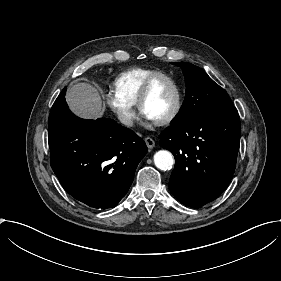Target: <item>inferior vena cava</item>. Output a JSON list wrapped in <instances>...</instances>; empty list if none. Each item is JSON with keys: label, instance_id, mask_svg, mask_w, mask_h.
<instances>
[{"label": "inferior vena cava", "instance_id": "602c4592", "mask_svg": "<svg viewBox=\"0 0 281 281\" xmlns=\"http://www.w3.org/2000/svg\"><path fill=\"white\" fill-rule=\"evenodd\" d=\"M118 119H119V121L122 124H124V125H126L128 127H132L133 126V119L130 116H128V115L119 114L118 115Z\"/></svg>", "mask_w": 281, "mask_h": 281}]
</instances>
